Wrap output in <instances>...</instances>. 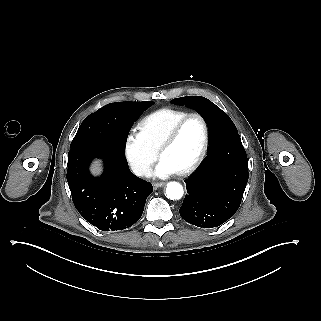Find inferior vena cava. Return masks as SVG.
Returning a JSON list of instances; mask_svg holds the SVG:
<instances>
[{
	"label": "inferior vena cava",
	"instance_id": "inferior-vena-cava-1",
	"mask_svg": "<svg viewBox=\"0 0 321 321\" xmlns=\"http://www.w3.org/2000/svg\"><path fill=\"white\" fill-rule=\"evenodd\" d=\"M131 168L133 173L137 176H145L149 178L153 174L152 168L147 165H133Z\"/></svg>",
	"mask_w": 321,
	"mask_h": 321
}]
</instances>
